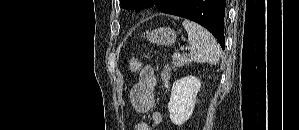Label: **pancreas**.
Returning a JSON list of instances; mask_svg holds the SVG:
<instances>
[{
	"label": "pancreas",
	"mask_w": 299,
	"mask_h": 130,
	"mask_svg": "<svg viewBox=\"0 0 299 130\" xmlns=\"http://www.w3.org/2000/svg\"><path fill=\"white\" fill-rule=\"evenodd\" d=\"M188 63H189V59L187 58L186 55H182L179 57L173 56V59H172L173 68L183 67V66L187 65Z\"/></svg>",
	"instance_id": "pancreas-1"
}]
</instances>
